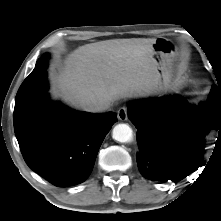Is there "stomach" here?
<instances>
[{"label": "stomach", "instance_id": "stomach-1", "mask_svg": "<svg viewBox=\"0 0 221 221\" xmlns=\"http://www.w3.org/2000/svg\"><path fill=\"white\" fill-rule=\"evenodd\" d=\"M177 56V47L167 38H158L152 45L151 59L156 66L158 84L155 93L177 92L178 86L174 79V62Z\"/></svg>", "mask_w": 221, "mask_h": 221}]
</instances>
